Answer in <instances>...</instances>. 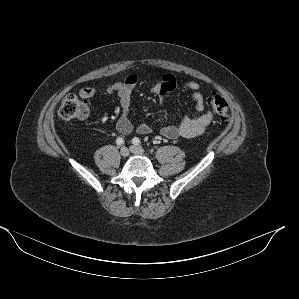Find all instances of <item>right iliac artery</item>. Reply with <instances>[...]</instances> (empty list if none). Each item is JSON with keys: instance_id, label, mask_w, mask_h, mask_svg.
<instances>
[{"instance_id": "obj_1", "label": "right iliac artery", "mask_w": 299, "mask_h": 299, "mask_svg": "<svg viewBox=\"0 0 299 299\" xmlns=\"http://www.w3.org/2000/svg\"><path fill=\"white\" fill-rule=\"evenodd\" d=\"M116 144L117 145H123L124 144V139L122 138V137H118L117 139H116Z\"/></svg>"}]
</instances>
